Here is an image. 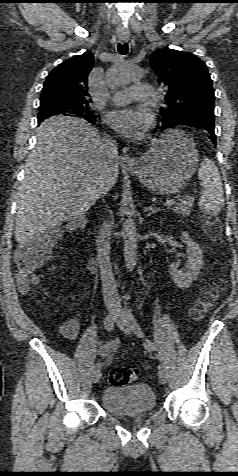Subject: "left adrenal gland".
<instances>
[{
  "label": "left adrenal gland",
  "mask_w": 238,
  "mask_h": 476,
  "mask_svg": "<svg viewBox=\"0 0 238 476\" xmlns=\"http://www.w3.org/2000/svg\"><path fill=\"white\" fill-rule=\"evenodd\" d=\"M161 210H162L161 208H157V207H153V206H149V207L144 208V212L147 214V216H151L152 214H154L158 211H161Z\"/></svg>",
  "instance_id": "left-adrenal-gland-1"
}]
</instances>
